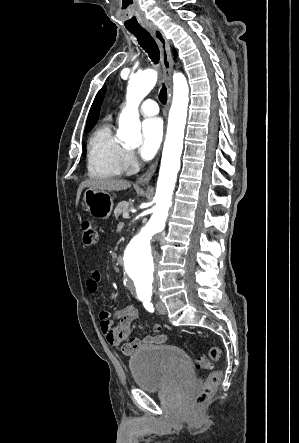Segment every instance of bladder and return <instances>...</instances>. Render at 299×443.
<instances>
[{
  "instance_id": "obj_1",
  "label": "bladder",
  "mask_w": 299,
  "mask_h": 443,
  "mask_svg": "<svg viewBox=\"0 0 299 443\" xmlns=\"http://www.w3.org/2000/svg\"><path fill=\"white\" fill-rule=\"evenodd\" d=\"M134 383L143 390H162L194 378L192 361L181 348L157 344L139 348L129 358Z\"/></svg>"
}]
</instances>
